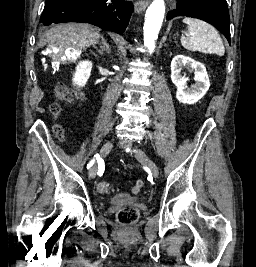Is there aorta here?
Here are the masks:
<instances>
[{
	"mask_svg": "<svg viewBox=\"0 0 256 267\" xmlns=\"http://www.w3.org/2000/svg\"><path fill=\"white\" fill-rule=\"evenodd\" d=\"M165 10L164 0H153L146 12L143 36L144 44L150 54L155 52V42L158 40V34L163 24Z\"/></svg>",
	"mask_w": 256,
	"mask_h": 267,
	"instance_id": "762f6f07",
	"label": "aorta"
}]
</instances>
